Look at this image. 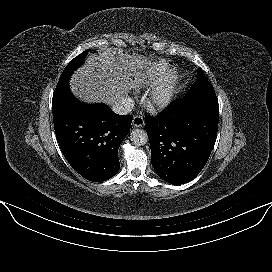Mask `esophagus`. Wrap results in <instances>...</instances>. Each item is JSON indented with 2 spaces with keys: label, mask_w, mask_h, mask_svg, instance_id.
Masks as SVG:
<instances>
[{
  "label": "esophagus",
  "mask_w": 272,
  "mask_h": 272,
  "mask_svg": "<svg viewBox=\"0 0 272 272\" xmlns=\"http://www.w3.org/2000/svg\"><path fill=\"white\" fill-rule=\"evenodd\" d=\"M144 123H145L144 119L140 115L134 116V118L132 120L133 127H137V128L142 127V126H144Z\"/></svg>",
  "instance_id": "obj_1"
}]
</instances>
